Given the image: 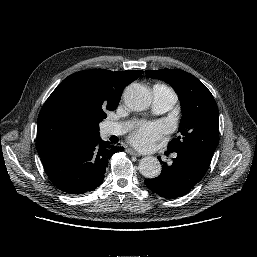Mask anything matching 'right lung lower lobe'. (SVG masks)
Here are the masks:
<instances>
[{
    "label": "right lung lower lobe",
    "instance_id": "obj_1",
    "mask_svg": "<svg viewBox=\"0 0 257 257\" xmlns=\"http://www.w3.org/2000/svg\"><path fill=\"white\" fill-rule=\"evenodd\" d=\"M123 150L96 136L61 142L39 155L49 179L58 189L83 194L103 182L110 157Z\"/></svg>",
    "mask_w": 257,
    "mask_h": 257
}]
</instances>
